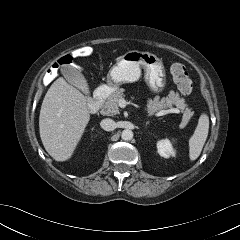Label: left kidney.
<instances>
[{"label": "left kidney", "mask_w": 240, "mask_h": 240, "mask_svg": "<svg viewBox=\"0 0 240 240\" xmlns=\"http://www.w3.org/2000/svg\"><path fill=\"white\" fill-rule=\"evenodd\" d=\"M157 151L159 155L164 158L175 156V151L172 147L171 142L168 139H163L157 142Z\"/></svg>", "instance_id": "left-kidney-1"}]
</instances>
